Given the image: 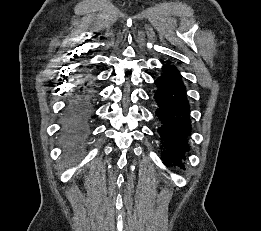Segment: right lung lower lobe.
<instances>
[{
    "label": "right lung lower lobe",
    "instance_id": "right-lung-lower-lobe-1",
    "mask_svg": "<svg viewBox=\"0 0 261 231\" xmlns=\"http://www.w3.org/2000/svg\"><path fill=\"white\" fill-rule=\"evenodd\" d=\"M92 94V81L87 76L78 83L67 101L63 131L66 136V150L70 155L76 153L86 140Z\"/></svg>",
    "mask_w": 261,
    "mask_h": 231
}]
</instances>
